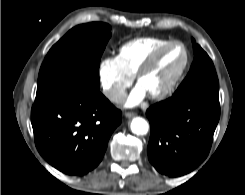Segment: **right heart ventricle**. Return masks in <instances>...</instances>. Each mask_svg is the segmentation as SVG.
I'll use <instances>...</instances> for the list:
<instances>
[{
  "label": "right heart ventricle",
  "mask_w": 245,
  "mask_h": 195,
  "mask_svg": "<svg viewBox=\"0 0 245 195\" xmlns=\"http://www.w3.org/2000/svg\"><path fill=\"white\" fill-rule=\"evenodd\" d=\"M168 42L166 39L153 37L133 39L119 48L116 58L123 70L133 76L142 62L155 49Z\"/></svg>",
  "instance_id": "1"
}]
</instances>
